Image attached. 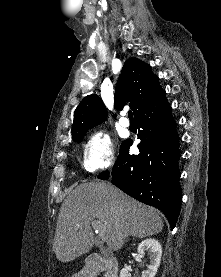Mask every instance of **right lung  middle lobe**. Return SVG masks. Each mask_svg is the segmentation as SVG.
I'll list each match as a JSON object with an SVG mask.
<instances>
[{
  "mask_svg": "<svg viewBox=\"0 0 221 277\" xmlns=\"http://www.w3.org/2000/svg\"><path fill=\"white\" fill-rule=\"evenodd\" d=\"M87 131L88 130H84V131H81L79 133H76V134L72 135L73 136V140L75 142H82L83 136L87 133Z\"/></svg>",
  "mask_w": 221,
  "mask_h": 277,
  "instance_id": "obj_1",
  "label": "right lung middle lobe"
}]
</instances>
